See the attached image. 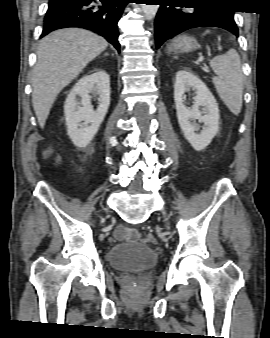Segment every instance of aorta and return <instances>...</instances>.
Returning a JSON list of instances; mask_svg holds the SVG:
<instances>
[{"label": "aorta", "mask_w": 270, "mask_h": 338, "mask_svg": "<svg viewBox=\"0 0 270 338\" xmlns=\"http://www.w3.org/2000/svg\"><path fill=\"white\" fill-rule=\"evenodd\" d=\"M159 6L158 5H149V4H143L142 5V11L146 19L151 20L155 17Z\"/></svg>", "instance_id": "1"}]
</instances>
